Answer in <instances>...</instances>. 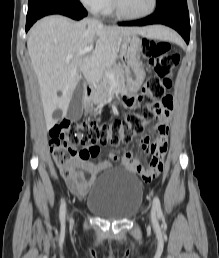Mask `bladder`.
Returning a JSON list of instances; mask_svg holds the SVG:
<instances>
[{
	"mask_svg": "<svg viewBox=\"0 0 219 258\" xmlns=\"http://www.w3.org/2000/svg\"><path fill=\"white\" fill-rule=\"evenodd\" d=\"M140 179L125 169H113L92 184L85 206L95 215L111 220L131 217L143 198Z\"/></svg>",
	"mask_w": 219,
	"mask_h": 258,
	"instance_id": "31cf9c89",
	"label": "bladder"
}]
</instances>
